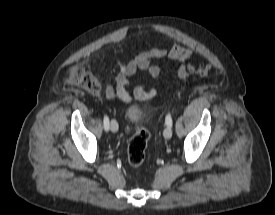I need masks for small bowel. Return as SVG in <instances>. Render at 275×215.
<instances>
[{"mask_svg":"<svg viewBox=\"0 0 275 215\" xmlns=\"http://www.w3.org/2000/svg\"><path fill=\"white\" fill-rule=\"evenodd\" d=\"M193 54V50L185 48L180 42H176L169 51L155 47L139 53L127 62L119 60L118 72L114 83L108 85L106 88V98L108 100L119 98L126 103L131 102L132 96L127 91V88L131 85V78L138 70L145 72L149 77H158L161 72V67L155 61L165 57H168L178 65L176 76L179 78L185 77V63ZM155 95L156 90L154 88L137 85L133 89V96L137 100H148Z\"/></svg>","mask_w":275,"mask_h":215,"instance_id":"obj_1","label":"small bowel"}]
</instances>
